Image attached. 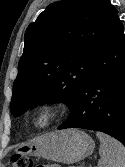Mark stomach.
<instances>
[{
  "instance_id": "1",
  "label": "stomach",
  "mask_w": 125,
  "mask_h": 167,
  "mask_svg": "<svg viewBox=\"0 0 125 167\" xmlns=\"http://www.w3.org/2000/svg\"><path fill=\"white\" fill-rule=\"evenodd\" d=\"M94 148L95 143L88 134L77 129H66L39 136L18 150L24 155L72 164L91 155Z\"/></svg>"
}]
</instances>
